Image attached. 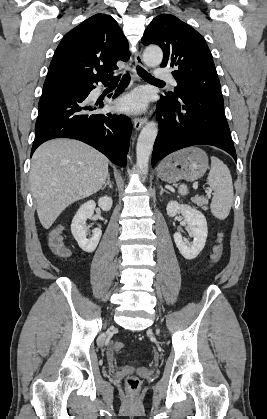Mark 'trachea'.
Listing matches in <instances>:
<instances>
[{
    "instance_id": "3493384b",
    "label": "trachea",
    "mask_w": 267,
    "mask_h": 419,
    "mask_svg": "<svg viewBox=\"0 0 267 419\" xmlns=\"http://www.w3.org/2000/svg\"><path fill=\"white\" fill-rule=\"evenodd\" d=\"M137 73L144 80H149V81H154V82H163V81H160L158 79H155L153 76H151V74H149L146 70H144L140 66H137ZM119 79H120V75H118L114 78V80H116V81L119 80Z\"/></svg>"
}]
</instances>
